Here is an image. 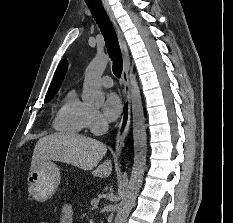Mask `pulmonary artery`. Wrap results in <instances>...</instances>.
Here are the masks:
<instances>
[{"mask_svg":"<svg viewBox=\"0 0 233 223\" xmlns=\"http://www.w3.org/2000/svg\"><path fill=\"white\" fill-rule=\"evenodd\" d=\"M101 83L103 84L104 87H110L112 85V83H113V80L109 76H104L101 79Z\"/></svg>","mask_w":233,"mask_h":223,"instance_id":"obj_1","label":"pulmonary artery"}]
</instances>
